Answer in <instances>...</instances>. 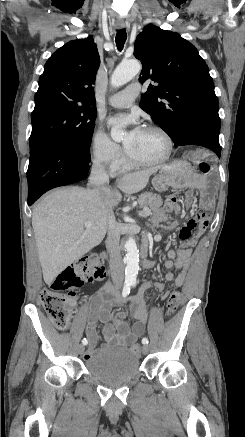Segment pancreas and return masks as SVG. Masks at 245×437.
<instances>
[{
	"instance_id": "pancreas-1",
	"label": "pancreas",
	"mask_w": 245,
	"mask_h": 437,
	"mask_svg": "<svg viewBox=\"0 0 245 437\" xmlns=\"http://www.w3.org/2000/svg\"><path fill=\"white\" fill-rule=\"evenodd\" d=\"M161 204H162V199L157 194L145 192L139 196V206L141 208L149 207L150 208L149 210L153 211L156 208L160 207Z\"/></svg>"
}]
</instances>
